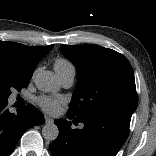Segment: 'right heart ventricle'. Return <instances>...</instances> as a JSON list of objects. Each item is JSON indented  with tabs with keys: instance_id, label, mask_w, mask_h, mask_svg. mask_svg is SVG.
I'll return each mask as SVG.
<instances>
[{
	"instance_id": "1",
	"label": "right heart ventricle",
	"mask_w": 156,
	"mask_h": 156,
	"mask_svg": "<svg viewBox=\"0 0 156 156\" xmlns=\"http://www.w3.org/2000/svg\"><path fill=\"white\" fill-rule=\"evenodd\" d=\"M70 67H73V65L69 61L62 58L57 59L54 64V68L58 73Z\"/></svg>"
}]
</instances>
